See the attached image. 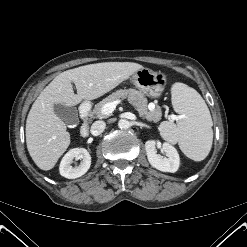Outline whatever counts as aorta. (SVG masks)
<instances>
[{
  "mask_svg": "<svg viewBox=\"0 0 247 247\" xmlns=\"http://www.w3.org/2000/svg\"><path fill=\"white\" fill-rule=\"evenodd\" d=\"M118 127L120 129H128L130 127V122L126 119H121L118 122Z\"/></svg>",
  "mask_w": 247,
  "mask_h": 247,
  "instance_id": "obj_1",
  "label": "aorta"
}]
</instances>
